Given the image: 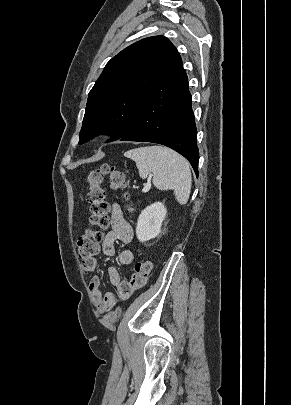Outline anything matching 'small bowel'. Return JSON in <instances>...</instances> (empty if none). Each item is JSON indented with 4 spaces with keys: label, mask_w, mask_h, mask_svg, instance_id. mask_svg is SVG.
<instances>
[{
    "label": "small bowel",
    "mask_w": 291,
    "mask_h": 405,
    "mask_svg": "<svg viewBox=\"0 0 291 405\" xmlns=\"http://www.w3.org/2000/svg\"><path fill=\"white\" fill-rule=\"evenodd\" d=\"M110 231L105 235L102 242V253L105 256H113L115 253V243L121 241L125 244L132 242L134 232L131 225L125 220L123 212L117 203L110 205ZM118 259L120 264L129 265L134 260V254L131 250H122ZM83 270L86 272H93L97 267V260L90 258L82 261ZM108 278L111 285L115 286L118 295L122 299H127L134 290L140 288L145 284V280L136 279L134 275L128 279L123 280L118 269L114 266L108 269ZM89 290L93 299V303L100 313L109 311L116 302V296L112 292L102 293L101 280L98 276H93L89 282Z\"/></svg>",
    "instance_id": "small-bowel-1"
}]
</instances>
